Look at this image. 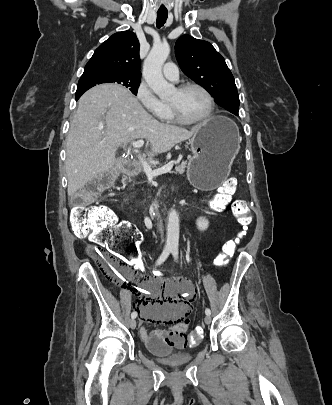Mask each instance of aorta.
Returning a JSON list of instances; mask_svg holds the SVG:
<instances>
[{
    "label": "aorta",
    "instance_id": "obj_1",
    "mask_svg": "<svg viewBox=\"0 0 332 405\" xmlns=\"http://www.w3.org/2000/svg\"><path fill=\"white\" fill-rule=\"evenodd\" d=\"M170 53L167 43L154 44L144 61L143 76L148 86L160 97H166L173 86L162 75V66ZM179 217L176 210H171L167 225V245L178 246Z\"/></svg>",
    "mask_w": 332,
    "mask_h": 405
}]
</instances>
